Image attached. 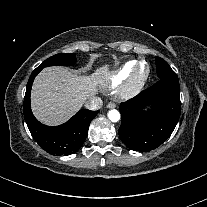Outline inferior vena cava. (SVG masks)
Returning <instances> with one entry per match:
<instances>
[{
    "instance_id": "inferior-vena-cava-1",
    "label": "inferior vena cava",
    "mask_w": 207,
    "mask_h": 207,
    "mask_svg": "<svg viewBox=\"0 0 207 207\" xmlns=\"http://www.w3.org/2000/svg\"><path fill=\"white\" fill-rule=\"evenodd\" d=\"M102 105L103 101L100 97H91L85 102V107L89 110H98Z\"/></svg>"
}]
</instances>
